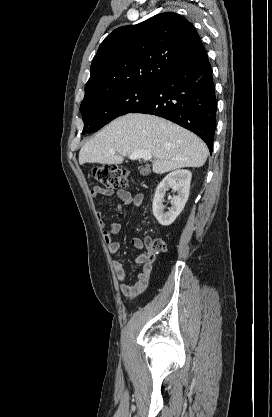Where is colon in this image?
Returning a JSON list of instances; mask_svg holds the SVG:
<instances>
[{
	"label": "colon",
	"mask_w": 272,
	"mask_h": 417,
	"mask_svg": "<svg viewBox=\"0 0 272 417\" xmlns=\"http://www.w3.org/2000/svg\"><path fill=\"white\" fill-rule=\"evenodd\" d=\"M93 178L108 188L123 187L128 184L126 171L114 164H103L92 170ZM166 250V243L162 239H154L148 245L147 259L153 260L155 255Z\"/></svg>",
	"instance_id": "colon-1"
}]
</instances>
